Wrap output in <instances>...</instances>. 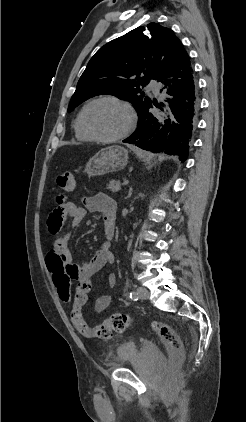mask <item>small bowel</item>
Here are the masks:
<instances>
[{
	"mask_svg": "<svg viewBox=\"0 0 246 422\" xmlns=\"http://www.w3.org/2000/svg\"><path fill=\"white\" fill-rule=\"evenodd\" d=\"M86 211L99 212L102 214L105 242L93 257L81 264H75L72 261V252L70 248V234L56 238L51 250L57 252L69 266L72 272V279L80 280L91 278L95 273L101 270L105 265L114 261L113 253L110 249V240L107 237L109 228L114 229V219L116 204L114 200L104 193L96 194L84 199V207L78 206L73 202H59L52 211L48 219V229L50 233L56 234L62 228L64 220L69 217L73 226H77L85 217ZM116 275L110 274L107 282L109 287L116 285ZM112 301L110 295H102L95 302V311L102 312L107 309Z\"/></svg>",
	"mask_w": 246,
	"mask_h": 422,
	"instance_id": "small-bowel-1",
	"label": "small bowel"
}]
</instances>
